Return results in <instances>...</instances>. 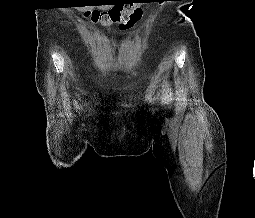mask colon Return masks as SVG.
Returning a JSON list of instances; mask_svg holds the SVG:
<instances>
[{
    "instance_id": "colon-1",
    "label": "colon",
    "mask_w": 255,
    "mask_h": 218,
    "mask_svg": "<svg viewBox=\"0 0 255 218\" xmlns=\"http://www.w3.org/2000/svg\"><path fill=\"white\" fill-rule=\"evenodd\" d=\"M136 3V0H130L109 11L91 10L86 12V16L94 23L107 27L117 25L119 29L125 30L131 28L142 17V10Z\"/></svg>"
}]
</instances>
